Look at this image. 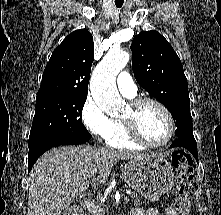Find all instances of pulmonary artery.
Returning <instances> with one entry per match:
<instances>
[{"label":"pulmonary artery","mask_w":221,"mask_h":215,"mask_svg":"<svg viewBox=\"0 0 221 215\" xmlns=\"http://www.w3.org/2000/svg\"><path fill=\"white\" fill-rule=\"evenodd\" d=\"M117 86L122 94L134 97L137 94V86L128 72H121L117 77Z\"/></svg>","instance_id":"e3ab8cb5"}]
</instances>
